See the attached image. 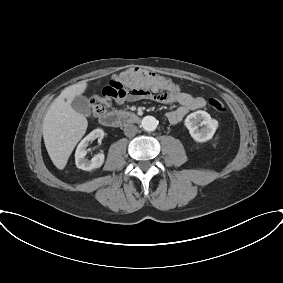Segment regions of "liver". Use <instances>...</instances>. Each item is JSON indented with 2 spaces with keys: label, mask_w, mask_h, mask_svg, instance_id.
I'll return each instance as SVG.
<instances>
[{
  "label": "liver",
  "mask_w": 283,
  "mask_h": 283,
  "mask_svg": "<svg viewBox=\"0 0 283 283\" xmlns=\"http://www.w3.org/2000/svg\"><path fill=\"white\" fill-rule=\"evenodd\" d=\"M86 81L64 89L54 100L43 119V139L53 164L64 169L73 149L84 136L88 121L72 107L73 99L84 93Z\"/></svg>",
  "instance_id": "liver-1"
}]
</instances>
